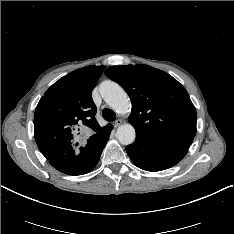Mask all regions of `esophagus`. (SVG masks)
<instances>
[{"label":"esophagus","mask_w":234,"mask_h":234,"mask_svg":"<svg viewBox=\"0 0 234 234\" xmlns=\"http://www.w3.org/2000/svg\"><path fill=\"white\" fill-rule=\"evenodd\" d=\"M122 122H123V121H122L121 119H117V120L114 122L113 125H114L115 128H117V127H119V126L122 124Z\"/></svg>","instance_id":"esophagus-1"}]
</instances>
